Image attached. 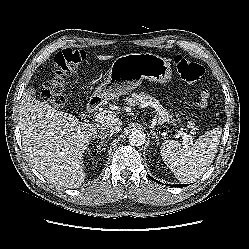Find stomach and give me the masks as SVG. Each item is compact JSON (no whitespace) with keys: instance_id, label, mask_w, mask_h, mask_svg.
<instances>
[{"instance_id":"1","label":"stomach","mask_w":249,"mask_h":249,"mask_svg":"<svg viewBox=\"0 0 249 249\" xmlns=\"http://www.w3.org/2000/svg\"><path fill=\"white\" fill-rule=\"evenodd\" d=\"M171 64L152 53H132L114 60L108 77L96 89L95 95L108 100L137 88L143 79L166 83L171 79Z\"/></svg>"}]
</instances>
